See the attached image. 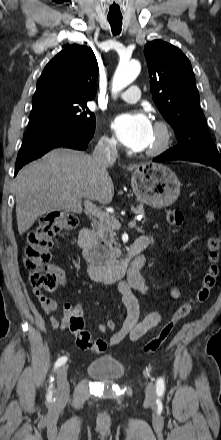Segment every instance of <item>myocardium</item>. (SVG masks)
Wrapping results in <instances>:
<instances>
[{"instance_id": "f54148a6", "label": "myocardium", "mask_w": 221, "mask_h": 440, "mask_svg": "<svg viewBox=\"0 0 221 440\" xmlns=\"http://www.w3.org/2000/svg\"><path fill=\"white\" fill-rule=\"evenodd\" d=\"M155 130L159 133V139L155 145L147 148L144 152L147 156H158L166 152L172 144L173 133L170 125L163 119H158L154 124Z\"/></svg>"}]
</instances>
